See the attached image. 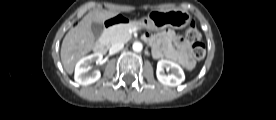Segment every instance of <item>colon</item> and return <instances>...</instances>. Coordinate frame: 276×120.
Returning <instances> with one entry per match:
<instances>
[{
  "label": "colon",
  "mask_w": 276,
  "mask_h": 120,
  "mask_svg": "<svg viewBox=\"0 0 276 120\" xmlns=\"http://www.w3.org/2000/svg\"><path fill=\"white\" fill-rule=\"evenodd\" d=\"M117 14L119 15L121 13H114L113 15H108L106 19L113 17L114 15H117ZM184 37L189 43L192 44V47H191L192 56L198 61L202 60L205 57L206 48L203 42L200 40V33L198 29L195 27L194 23L191 22L189 24L188 28L184 32Z\"/></svg>",
  "instance_id": "obj_1"
}]
</instances>
